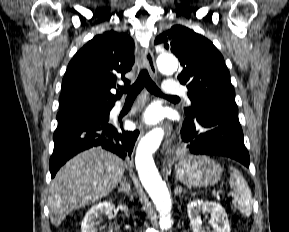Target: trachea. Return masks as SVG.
Masks as SVG:
<instances>
[{"label": "trachea", "instance_id": "trachea-1", "mask_svg": "<svg viewBox=\"0 0 289 232\" xmlns=\"http://www.w3.org/2000/svg\"><path fill=\"white\" fill-rule=\"evenodd\" d=\"M146 88L150 93L167 98H178L177 96H168L164 95L161 90L157 87L154 81L149 76V73L146 69H141L137 80L135 83L128 87L120 88L122 93L127 94V99L136 98V96L141 92L143 88Z\"/></svg>", "mask_w": 289, "mask_h": 232}]
</instances>
